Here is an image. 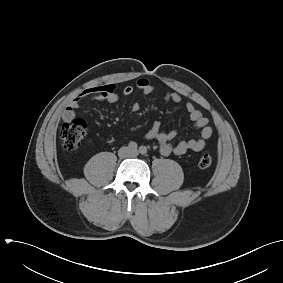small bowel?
<instances>
[{
	"mask_svg": "<svg viewBox=\"0 0 283 283\" xmlns=\"http://www.w3.org/2000/svg\"><path fill=\"white\" fill-rule=\"evenodd\" d=\"M136 88L144 94H150L154 91V86L147 78H139L136 82ZM134 90L135 88L133 86L127 85L123 88L122 93L125 96H130L134 93ZM89 97L107 103H115L119 99L113 84L91 87L79 93L67 104L62 112V119L66 122L71 121L75 117V111L80 106L81 101ZM164 100L180 103L182 98L176 92H166ZM185 108L194 127L200 131L199 137L174 143L173 140L175 139L177 132L175 130L167 132L162 131L158 121H155L145 134L146 139L158 142L160 152L165 156L171 154L183 155L188 151H201L204 149L207 140L213 134L210 120L205 117L193 103L187 102ZM139 110V104H133L132 111L137 112Z\"/></svg>",
	"mask_w": 283,
	"mask_h": 283,
	"instance_id": "1",
	"label": "small bowel"
}]
</instances>
